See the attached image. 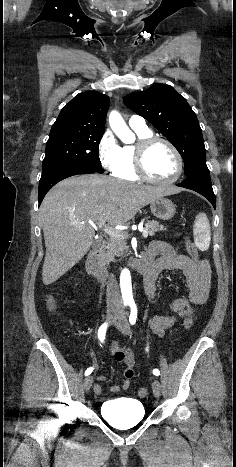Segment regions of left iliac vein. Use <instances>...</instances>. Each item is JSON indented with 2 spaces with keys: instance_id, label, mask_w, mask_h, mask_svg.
Segmentation results:
<instances>
[{
  "instance_id": "4c4485c4",
  "label": "left iliac vein",
  "mask_w": 236,
  "mask_h": 467,
  "mask_svg": "<svg viewBox=\"0 0 236 467\" xmlns=\"http://www.w3.org/2000/svg\"><path fill=\"white\" fill-rule=\"evenodd\" d=\"M115 327L124 335H130V326L127 321L126 313L123 312L119 315V317L114 321ZM152 390L153 394L156 398L161 396L162 386L159 380L154 379L152 382Z\"/></svg>"
}]
</instances>
